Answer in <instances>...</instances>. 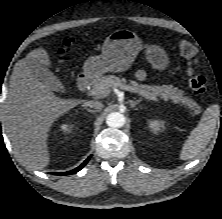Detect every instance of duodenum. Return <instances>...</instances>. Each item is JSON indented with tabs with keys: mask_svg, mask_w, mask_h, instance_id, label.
<instances>
[{
	"mask_svg": "<svg viewBox=\"0 0 222 219\" xmlns=\"http://www.w3.org/2000/svg\"><path fill=\"white\" fill-rule=\"evenodd\" d=\"M77 84L81 91H87L92 84V76L89 74L80 76Z\"/></svg>",
	"mask_w": 222,
	"mask_h": 219,
	"instance_id": "1",
	"label": "duodenum"
}]
</instances>
